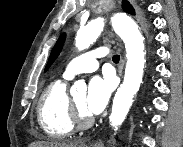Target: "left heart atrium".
Wrapping results in <instances>:
<instances>
[{
	"label": "left heart atrium",
	"instance_id": "39dd6f15",
	"mask_svg": "<svg viewBox=\"0 0 183 147\" xmlns=\"http://www.w3.org/2000/svg\"><path fill=\"white\" fill-rule=\"evenodd\" d=\"M114 88L110 77H94L88 86L85 110L89 115H97L106 107Z\"/></svg>",
	"mask_w": 183,
	"mask_h": 147
}]
</instances>
